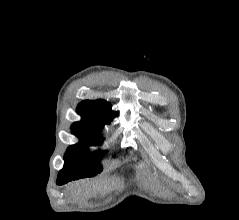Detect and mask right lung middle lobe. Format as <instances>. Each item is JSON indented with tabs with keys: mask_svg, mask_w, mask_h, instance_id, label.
<instances>
[{
	"mask_svg": "<svg viewBox=\"0 0 239 220\" xmlns=\"http://www.w3.org/2000/svg\"><path fill=\"white\" fill-rule=\"evenodd\" d=\"M72 133L81 141L78 144L70 146L64 156V167L60 170L56 183L59 185L69 181L92 177L102 171L100 159L104 152L89 153L88 147L94 144H100L102 137H97L100 130H91L72 126Z\"/></svg>",
	"mask_w": 239,
	"mask_h": 220,
	"instance_id": "dd1d6c3e",
	"label": "right lung middle lobe"
}]
</instances>
